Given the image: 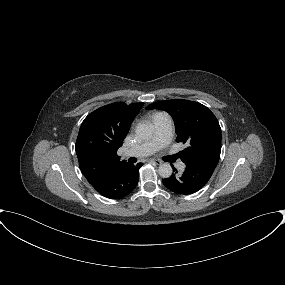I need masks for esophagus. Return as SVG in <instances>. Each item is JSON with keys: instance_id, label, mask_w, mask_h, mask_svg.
Wrapping results in <instances>:
<instances>
[{"instance_id": "34e87169", "label": "esophagus", "mask_w": 285, "mask_h": 285, "mask_svg": "<svg viewBox=\"0 0 285 285\" xmlns=\"http://www.w3.org/2000/svg\"><path fill=\"white\" fill-rule=\"evenodd\" d=\"M150 162L155 163L156 165H160L162 164V162L160 160H151Z\"/></svg>"}]
</instances>
